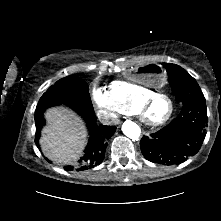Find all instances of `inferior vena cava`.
I'll return each instance as SVG.
<instances>
[{"instance_id":"obj_1","label":"inferior vena cava","mask_w":221,"mask_h":221,"mask_svg":"<svg viewBox=\"0 0 221 221\" xmlns=\"http://www.w3.org/2000/svg\"><path fill=\"white\" fill-rule=\"evenodd\" d=\"M99 121L104 125H110L116 122L114 114L107 111H100L97 114Z\"/></svg>"}]
</instances>
